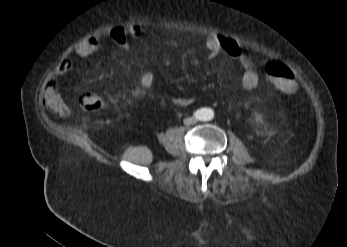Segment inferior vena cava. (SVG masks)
I'll use <instances>...</instances> for the list:
<instances>
[{"mask_svg":"<svg viewBox=\"0 0 347 247\" xmlns=\"http://www.w3.org/2000/svg\"><path fill=\"white\" fill-rule=\"evenodd\" d=\"M191 121H192V123H195V122H196V119L191 118Z\"/></svg>","mask_w":347,"mask_h":247,"instance_id":"602c4592","label":"inferior vena cava"}]
</instances>
